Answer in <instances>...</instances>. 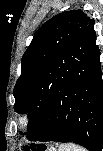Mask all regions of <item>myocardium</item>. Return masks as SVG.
Segmentation results:
<instances>
[{
	"instance_id": "1",
	"label": "myocardium",
	"mask_w": 103,
	"mask_h": 151,
	"mask_svg": "<svg viewBox=\"0 0 103 151\" xmlns=\"http://www.w3.org/2000/svg\"><path fill=\"white\" fill-rule=\"evenodd\" d=\"M14 120L19 128L26 129L31 123V114L29 110L16 111Z\"/></svg>"
}]
</instances>
